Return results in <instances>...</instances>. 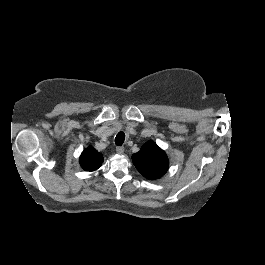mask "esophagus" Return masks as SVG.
<instances>
[{
	"label": "esophagus",
	"instance_id": "34e87169",
	"mask_svg": "<svg viewBox=\"0 0 265 265\" xmlns=\"http://www.w3.org/2000/svg\"><path fill=\"white\" fill-rule=\"evenodd\" d=\"M116 152H117L118 154H123V152H124V147H123V146H117V147H116Z\"/></svg>",
	"mask_w": 265,
	"mask_h": 265
}]
</instances>
